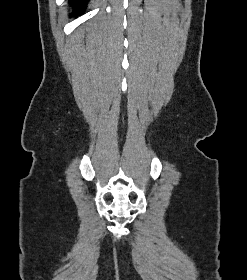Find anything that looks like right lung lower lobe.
Masks as SVG:
<instances>
[{"mask_svg":"<svg viewBox=\"0 0 247 280\" xmlns=\"http://www.w3.org/2000/svg\"><path fill=\"white\" fill-rule=\"evenodd\" d=\"M71 8L74 12H79L81 9H85L87 7L88 0H70ZM73 16V14H71Z\"/></svg>","mask_w":247,"mask_h":280,"instance_id":"1","label":"right lung lower lobe"}]
</instances>
